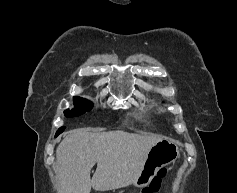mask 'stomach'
<instances>
[{
  "label": "stomach",
  "mask_w": 237,
  "mask_h": 193,
  "mask_svg": "<svg viewBox=\"0 0 237 193\" xmlns=\"http://www.w3.org/2000/svg\"><path fill=\"white\" fill-rule=\"evenodd\" d=\"M178 156L179 148L173 141L160 140L148 151L142 169L132 184L137 187L148 185L161 167L174 162Z\"/></svg>",
  "instance_id": "1"
}]
</instances>
